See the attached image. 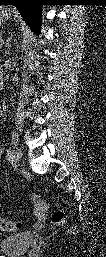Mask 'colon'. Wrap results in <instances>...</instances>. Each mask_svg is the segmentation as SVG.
I'll return each mask as SVG.
<instances>
[{"instance_id": "5ec220e1", "label": "colon", "mask_w": 106, "mask_h": 257, "mask_svg": "<svg viewBox=\"0 0 106 257\" xmlns=\"http://www.w3.org/2000/svg\"><path fill=\"white\" fill-rule=\"evenodd\" d=\"M64 221H65V214L62 210H57L53 213L52 223L55 226L63 225ZM21 227H22V224L17 221L6 220V219H1L0 221V228L2 231H5V232H15L20 230Z\"/></svg>"}]
</instances>
